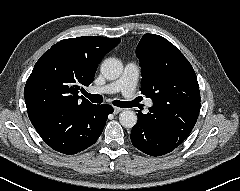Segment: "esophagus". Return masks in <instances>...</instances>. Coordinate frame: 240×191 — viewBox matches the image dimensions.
<instances>
[{
	"label": "esophagus",
	"mask_w": 240,
	"mask_h": 191,
	"mask_svg": "<svg viewBox=\"0 0 240 191\" xmlns=\"http://www.w3.org/2000/svg\"><path fill=\"white\" fill-rule=\"evenodd\" d=\"M121 111H122V108H119V107H114V108H113L114 114H118V113L121 112Z\"/></svg>",
	"instance_id": "34e87169"
}]
</instances>
